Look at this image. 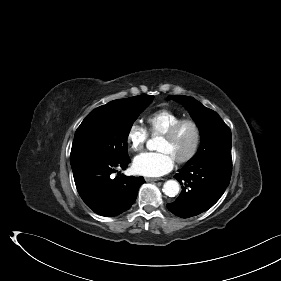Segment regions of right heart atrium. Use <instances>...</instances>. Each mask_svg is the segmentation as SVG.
<instances>
[{
	"instance_id": "1",
	"label": "right heart atrium",
	"mask_w": 281,
	"mask_h": 281,
	"mask_svg": "<svg viewBox=\"0 0 281 281\" xmlns=\"http://www.w3.org/2000/svg\"><path fill=\"white\" fill-rule=\"evenodd\" d=\"M148 135V131L143 125L138 122L132 123L126 134L129 149L133 152L141 151L147 142Z\"/></svg>"
}]
</instances>
